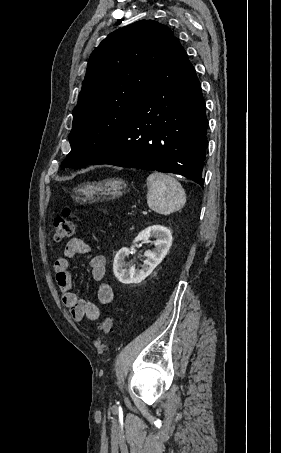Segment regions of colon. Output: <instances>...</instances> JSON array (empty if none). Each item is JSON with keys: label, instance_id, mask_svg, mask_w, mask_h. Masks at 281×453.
Returning <instances> with one entry per match:
<instances>
[{"label": "colon", "instance_id": "1", "mask_svg": "<svg viewBox=\"0 0 281 453\" xmlns=\"http://www.w3.org/2000/svg\"><path fill=\"white\" fill-rule=\"evenodd\" d=\"M77 218L72 214V205L66 204L63 213L54 220L53 232L58 242H64L71 238L77 225ZM114 329V317L112 314H105L99 323V331L104 336L112 334Z\"/></svg>", "mask_w": 281, "mask_h": 453}]
</instances>
